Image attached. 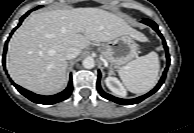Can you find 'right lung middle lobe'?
<instances>
[{
    "instance_id": "dd1d6c3e",
    "label": "right lung middle lobe",
    "mask_w": 194,
    "mask_h": 133,
    "mask_svg": "<svg viewBox=\"0 0 194 133\" xmlns=\"http://www.w3.org/2000/svg\"><path fill=\"white\" fill-rule=\"evenodd\" d=\"M39 7H41V6H38V7H36L35 9H37V8H39Z\"/></svg>"
}]
</instances>
